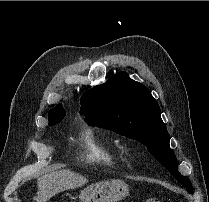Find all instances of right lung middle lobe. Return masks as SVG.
I'll return each mask as SVG.
<instances>
[{
	"label": "right lung middle lobe",
	"instance_id": "obj_1",
	"mask_svg": "<svg viewBox=\"0 0 209 202\" xmlns=\"http://www.w3.org/2000/svg\"><path fill=\"white\" fill-rule=\"evenodd\" d=\"M65 116V111L64 109H58V110H55L51 113H49V118L54 121V124L52 125H55L57 124L58 122H60ZM51 125V126H52Z\"/></svg>",
	"mask_w": 209,
	"mask_h": 202
}]
</instances>
